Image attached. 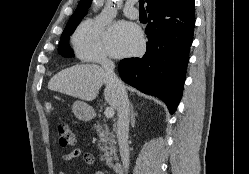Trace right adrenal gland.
Segmentation results:
<instances>
[{"label": "right adrenal gland", "mask_w": 249, "mask_h": 174, "mask_svg": "<svg viewBox=\"0 0 249 174\" xmlns=\"http://www.w3.org/2000/svg\"><path fill=\"white\" fill-rule=\"evenodd\" d=\"M130 119H131V126L134 128L135 126V116L137 115V113L134 112V108H133V104H130Z\"/></svg>", "instance_id": "right-adrenal-gland-1"}]
</instances>
